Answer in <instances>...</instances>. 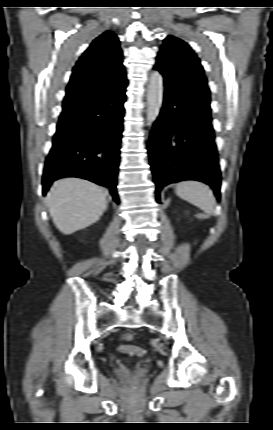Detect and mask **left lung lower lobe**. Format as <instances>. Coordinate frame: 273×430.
<instances>
[{"mask_svg":"<svg viewBox=\"0 0 273 430\" xmlns=\"http://www.w3.org/2000/svg\"><path fill=\"white\" fill-rule=\"evenodd\" d=\"M163 106L149 139L150 165L161 189L181 180H198L210 185L220 199L221 174L211 116L178 98L172 85L164 82Z\"/></svg>","mask_w":273,"mask_h":430,"instance_id":"obj_1","label":"left lung lower lobe"}]
</instances>
